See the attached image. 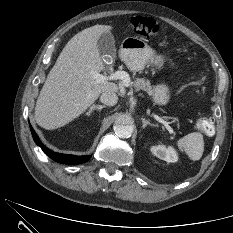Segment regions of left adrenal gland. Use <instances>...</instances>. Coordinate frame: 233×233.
I'll return each instance as SVG.
<instances>
[{"instance_id": "1", "label": "left adrenal gland", "mask_w": 233, "mask_h": 233, "mask_svg": "<svg viewBox=\"0 0 233 233\" xmlns=\"http://www.w3.org/2000/svg\"><path fill=\"white\" fill-rule=\"evenodd\" d=\"M142 120V128L145 129L147 126H151V127H157V124H153L151 123L149 120H146L145 118H141Z\"/></svg>"}]
</instances>
